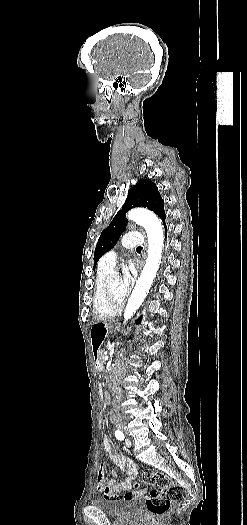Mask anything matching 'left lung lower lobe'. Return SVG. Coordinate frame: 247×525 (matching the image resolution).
Returning a JSON list of instances; mask_svg holds the SVG:
<instances>
[{"label":"left lung lower lobe","mask_w":247,"mask_h":525,"mask_svg":"<svg viewBox=\"0 0 247 525\" xmlns=\"http://www.w3.org/2000/svg\"><path fill=\"white\" fill-rule=\"evenodd\" d=\"M162 221H163V224H164V227H165V232H166V234H167V228H166V224H165V218H164ZM141 320H142V317H140L136 322H137V323H140Z\"/></svg>","instance_id":"0a47b994"}]
</instances>
